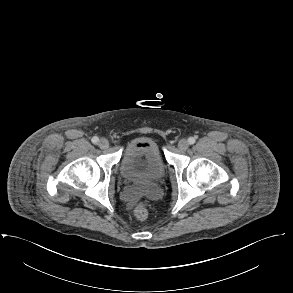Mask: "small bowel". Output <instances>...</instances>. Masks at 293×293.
I'll return each instance as SVG.
<instances>
[{"instance_id": "obj_1", "label": "small bowel", "mask_w": 293, "mask_h": 293, "mask_svg": "<svg viewBox=\"0 0 293 293\" xmlns=\"http://www.w3.org/2000/svg\"><path fill=\"white\" fill-rule=\"evenodd\" d=\"M134 196H135V193L132 192V191H130V190H126V191L124 192V197L126 198V200H127L128 202H133L134 199H135Z\"/></svg>"}]
</instances>
